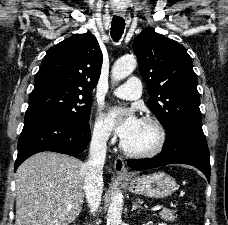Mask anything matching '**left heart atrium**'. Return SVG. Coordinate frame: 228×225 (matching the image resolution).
Here are the masks:
<instances>
[{
    "label": "left heart atrium",
    "mask_w": 228,
    "mask_h": 225,
    "mask_svg": "<svg viewBox=\"0 0 228 225\" xmlns=\"http://www.w3.org/2000/svg\"><path fill=\"white\" fill-rule=\"evenodd\" d=\"M107 121L110 127L124 140H131L139 130L141 120L134 111L113 107L108 111Z\"/></svg>",
    "instance_id": "obj_1"
}]
</instances>
